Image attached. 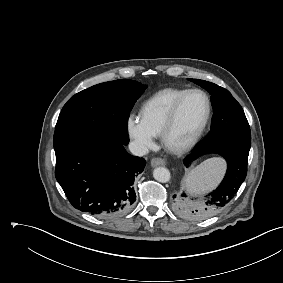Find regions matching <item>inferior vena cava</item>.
I'll return each instance as SVG.
<instances>
[{"instance_id":"602c4592","label":"inferior vena cava","mask_w":283,"mask_h":283,"mask_svg":"<svg viewBox=\"0 0 283 283\" xmlns=\"http://www.w3.org/2000/svg\"><path fill=\"white\" fill-rule=\"evenodd\" d=\"M129 150L136 156H144L148 153V148L142 143L136 141L129 143Z\"/></svg>"}]
</instances>
